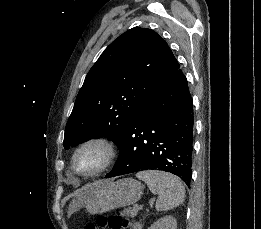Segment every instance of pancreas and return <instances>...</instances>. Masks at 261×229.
<instances>
[{"label":"pancreas","instance_id":"pancreas-1","mask_svg":"<svg viewBox=\"0 0 261 229\" xmlns=\"http://www.w3.org/2000/svg\"><path fill=\"white\" fill-rule=\"evenodd\" d=\"M137 213L138 211L137 209H135V207L133 211H128V209H126V211H124L123 217H131V219H133V217H136Z\"/></svg>","mask_w":261,"mask_h":229}]
</instances>
